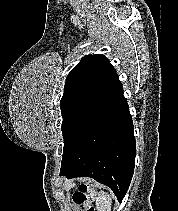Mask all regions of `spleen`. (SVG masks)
I'll return each instance as SVG.
<instances>
[{"mask_svg": "<svg viewBox=\"0 0 178 211\" xmlns=\"http://www.w3.org/2000/svg\"><path fill=\"white\" fill-rule=\"evenodd\" d=\"M113 195L104 191L98 193L96 198L97 211H111Z\"/></svg>", "mask_w": 178, "mask_h": 211, "instance_id": "3e777b00", "label": "spleen"}]
</instances>
